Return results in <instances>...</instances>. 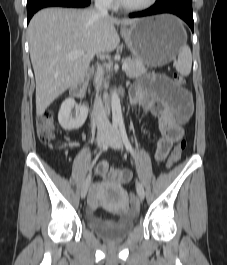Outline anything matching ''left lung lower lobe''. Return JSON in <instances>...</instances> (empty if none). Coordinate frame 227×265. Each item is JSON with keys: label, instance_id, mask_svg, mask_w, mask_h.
<instances>
[{"label": "left lung lower lobe", "instance_id": "1", "mask_svg": "<svg viewBox=\"0 0 227 265\" xmlns=\"http://www.w3.org/2000/svg\"><path fill=\"white\" fill-rule=\"evenodd\" d=\"M161 13H171L179 16L183 19L193 31L194 21L192 14V2L183 1V0H168L160 3H155L152 7L145 11L131 13L129 16L134 17H143L150 16Z\"/></svg>", "mask_w": 227, "mask_h": 265}]
</instances>
